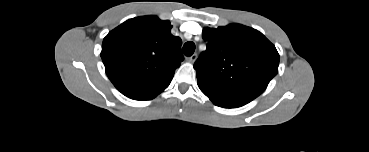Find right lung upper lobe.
Wrapping results in <instances>:
<instances>
[{
  "mask_svg": "<svg viewBox=\"0 0 369 152\" xmlns=\"http://www.w3.org/2000/svg\"><path fill=\"white\" fill-rule=\"evenodd\" d=\"M168 20L136 17L109 32L101 58L114 86L134 100H151L166 89L184 57Z\"/></svg>",
  "mask_w": 369,
  "mask_h": 152,
  "instance_id": "right-lung-upper-lobe-1",
  "label": "right lung upper lobe"
}]
</instances>
